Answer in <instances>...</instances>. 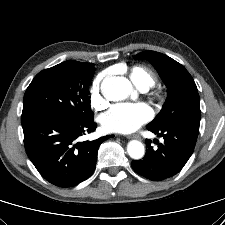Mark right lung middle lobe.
<instances>
[{
	"instance_id": "right-lung-middle-lobe-1",
	"label": "right lung middle lobe",
	"mask_w": 225,
	"mask_h": 225,
	"mask_svg": "<svg viewBox=\"0 0 225 225\" xmlns=\"http://www.w3.org/2000/svg\"><path fill=\"white\" fill-rule=\"evenodd\" d=\"M94 71V64L73 60L42 70L25 92L23 112L50 111L79 123L93 120L88 88Z\"/></svg>"
}]
</instances>
